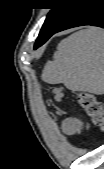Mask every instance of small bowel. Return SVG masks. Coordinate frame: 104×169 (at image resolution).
Listing matches in <instances>:
<instances>
[{
	"mask_svg": "<svg viewBox=\"0 0 104 169\" xmlns=\"http://www.w3.org/2000/svg\"><path fill=\"white\" fill-rule=\"evenodd\" d=\"M82 122L76 118H70L64 122V131L68 135H75L82 129Z\"/></svg>",
	"mask_w": 104,
	"mask_h": 169,
	"instance_id": "1",
	"label": "small bowel"
}]
</instances>
